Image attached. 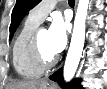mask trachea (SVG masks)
Wrapping results in <instances>:
<instances>
[{"label": "trachea", "instance_id": "3493384b", "mask_svg": "<svg viewBox=\"0 0 107 89\" xmlns=\"http://www.w3.org/2000/svg\"><path fill=\"white\" fill-rule=\"evenodd\" d=\"M68 3H69V5H74L75 4V0H69Z\"/></svg>", "mask_w": 107, "mask_h": 89}]
</instances>
